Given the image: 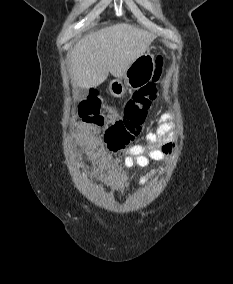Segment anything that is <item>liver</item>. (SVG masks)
I'll return each instance as SVG.
<instances>
[{
    "label": "liver",
    "instance_id": "obj_1",
    "mask_svg": "<svg viewBox=\"0 0 233 284\" xmlns=\"http://www.w3.org/2000/svg\"><path fill=\"white\" fill-rule=\"evenodd\" d=\"M155 38L154 33L127 23L89 33L70 52L73 85L89 89L102 84L109 73L123 76Z\"/></svg>",
    "mask_w": 233,
    "mask_h": 284
}]
</instances>
